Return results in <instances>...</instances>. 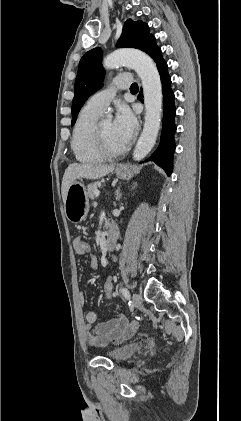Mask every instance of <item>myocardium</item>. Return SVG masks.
Wrapping results in <instances>:
<instances>
[{
  "mask_svg": "<svg viewBox=\"0 0 241 421\" xmlns=\"http://www.w3.org/2000/svg\"><path fill=\"white\" fill-rule=\"evenodd\" d=\"M95 142L96 146L99 150V152L105 157V158H113L118 157L120 155H123L128 150V146L125 145L120 149H112L108 146L104 132L102 129V122H99L95 129Z\"/></svg>",
  "mask_w": 241,
  "mask_h": 421,
  "instance_id": "1",
  "label": "myocardium"
}]
</instances>
